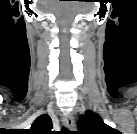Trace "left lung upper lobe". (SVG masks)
<instances>
[{
  "instance_id": "1",
  "label": "left lung upper lobe",
  "mask_w": 137,
  "mask_h": 134,
  "mask_svg": "<svg viewBox=\"0 0 137 134\" xmlns=\"http://www.w3.org/2000/svg\"><path fill=\"white\" fill-rule=\"evenodd\" d=\"M78 134H121L104 123L102 118L92 111L85 112L78 122Z\"/></svg>"
}]
</instances>
